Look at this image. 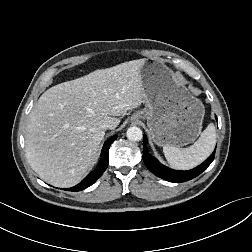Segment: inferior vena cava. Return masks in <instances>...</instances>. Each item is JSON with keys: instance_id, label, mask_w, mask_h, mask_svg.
I'll list each match as a JSON object with an SVG mask.
<instances>
[{"instance_id": "inferior-vena-cava-1", "label": "inferior vena cava", "mask_w": 252, "mask_h": 252, "mask_svg": "<svg viewBox=\"0 0 252 252\" xmlns=\"http://www.w3.org/2000/svg\"><path fill=\"white\" fill-rule=\"evenodd\" d=\"M101 128H103V129H113L114 126H113V124L111 122L105 121V122H103L101 124Z\"/></svg>"}]
</instances>
